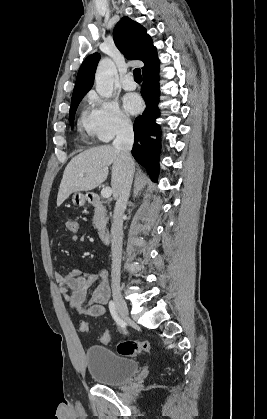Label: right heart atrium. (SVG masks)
<instances>
[{
	"label": "right heart atrium",
	"instance_id": "right-heart-atrium-1",
	"mask_svg": "<svg viewBox=\"0 0 267 419\" xmlns=\"http://www.w3.org/2000/svg\"><path fill=\"white\" fill-rule=\"evenodd\" d=\"M89 102L93 107L95 136L99 140L107 142L130 130L131 119L116 101L91 93Z\"/></svg>",
	"mask_w": 267,
	"mask_h": 419
}]
</instances>
